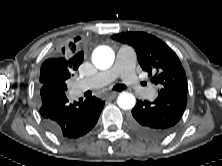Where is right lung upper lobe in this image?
I'll return each instance as SVG.
<instances>
[{
    "label": "right lung upper lobe",
    "mask_w": 222,
    "mask_h": 166,
    "mask_svg": "<svg viewBox=\"0 0 222 166\" xmlns=\"http://www.w3.org/2000/svg\"><path fill=\"white\" fill-rule=\"evenodd\" d=\"M80 40V37H76L67 42L57 49L53 58L44 61L40 71L41 84H53L64 89L60 85L61 82L66 85V80L73 75L84 59V53L79 49Z\"/></svg>",
    "instance_id": "1"
}]
</instances>
